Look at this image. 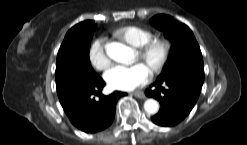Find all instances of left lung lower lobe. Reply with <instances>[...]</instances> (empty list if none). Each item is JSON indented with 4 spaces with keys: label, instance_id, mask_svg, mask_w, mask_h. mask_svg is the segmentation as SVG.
<instances>
[{
    "label": "left lung lower lobe",
    "instance_id": "obj_1",
    "mask_svg": "<svg viewBox=\"0 0 247 145\" xmlns=\"http://www.w3.org/2000/svg\"><path fill=\"white\" fill-rule=\"evenodd\" d=\"M204 81V71L180 69L160 75L145 94L159 100L162 108L152 117L160 126H174L181 122L194 107Z\"/></svg>",
    "mask_w": 247,
    "mask_h": 145
}]
</instances>
